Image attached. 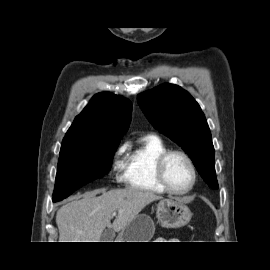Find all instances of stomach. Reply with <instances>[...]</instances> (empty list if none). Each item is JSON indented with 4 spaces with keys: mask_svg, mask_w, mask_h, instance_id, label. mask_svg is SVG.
Instances as JSON below:
<instances>
[{
    "mask_svg": "<svg viewBox=\"0 0 270 270\" xmlns=\"http://www.w3.org/2000/svg\"><path fill=\"white\" fill-rule=\"evenodd\" d=\"M156 216L162 226L179 228L191 220L190 209L178 200H161L157 204ZM155 226L146 214H138L118 235V242H149L154 234Z\"/></svg>",
    "mask_w": 270,
    "mask_h": 270,
    "instance_id": "0dacf381",
    "label": "stomach"
}]
</instances>
